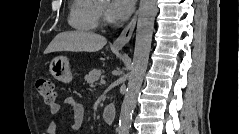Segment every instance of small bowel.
<instances>
[{"label": "small bowel", "mask_w": 239, "mask_h": 134, "mask_svg": "<svg viewBox=\"0 0 239 134\" xmlns=\"http://www.w3.org/2000/svg\"><path fill=\"white\" fill-rule=\"evenodd\" d=\"M65 103L71 107L72 112V127L73 129H79L83 123L85 110L82 104L74 100V98L69 97L65 100ZM61 105L54 103L50 106V113L56 115L60 112ZM57 124L55 121H52L47 129V134H56Z\"/></svg>", "instance_id": "1"}]
</instances>
